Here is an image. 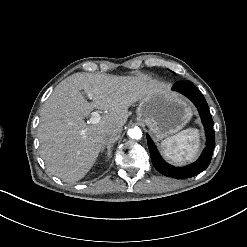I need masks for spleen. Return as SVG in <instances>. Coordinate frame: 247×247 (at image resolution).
<instances>
[{
	"label": "spleen",
	"instance_id": "3e777b00",
	"mask_svg": "<svg viewBox=\"0 0 247 247\" xmlns=\"http://www.w3.org/2000/svg\"><path fill=\"white\" fill-rule=\"evenodd\" d=\"M176 141L183 149L177 156L168 148L170 143ZM161 153L169 163H174L178 166H184L197 160L201 148V133L199 129L184 130L173 138L165 139L160 142ZM188 149L187 153L185 149ZM182 155H185L183 158Z\"/></svg>",
	"mask_w": 247,
	"mask_h": 247
}]
</instances>
